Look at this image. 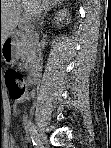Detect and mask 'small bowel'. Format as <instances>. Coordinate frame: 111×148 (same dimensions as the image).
Here are the masks:
<instances>
[{"instance_id":"c3829d8e","label":"small bowel","mask_w":111,"mask_h":148,"mask_svg":"<svg viewBox=\"0 0 111 148\" xmlns=\"http://www.w3.org/2000/svg\"><path fill=\"white\" fill-rule=\"evenodd\" d=\"M13 111H14L15 114H18L19 109H18L17 105H15V106L13 107ZM13 146H14V141H13L12 138H9L6 147H13Z\"/></svg>"}]
</instances>
